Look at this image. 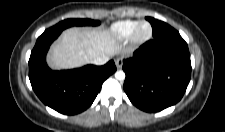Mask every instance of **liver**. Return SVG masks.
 <instances>
[{"instance_id": "6515ba94", "label": "liver", "mask_w": 225, "mask_h": 132, "mask_svg": "<svg viewBox=\"0 0 225 132\" xmlns=\"http://www.w3.org/2000/svg\"><path fill=\"white\" fill-rule=\"evenodd\" d=\"M120 51L111 31L73 27L65 30L51 46L47 62L55 70L71 69L88 64L95 57H110Z\"/></svg>"}]
</instances>
